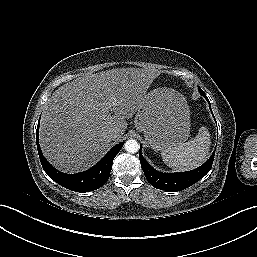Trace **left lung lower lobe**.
Segmentation results:
<instances>
[{
	"label": "left lung lower lobe",
	"instance_id": "1",
	"mask_svg": "<svg viewBox=\"0 0 257 257\" xmlns=\"http://www.w3.org/2000/svg\"><path fill=\"white\" fill-rule=\"evenodd\" d=\"M199 92L205 97L210 107V102L201 88H199ZM214 156L215 151L212 153L208 161H206L202 166L191 171L182 173H162L152 168L143 158L141 154V147L139 151L141 167L148 182L155 188L171 192L184 190L202 179L212 168Z\"/></svg>",
	"mask_w": 257,
	"mask_h": 257
}]
</instances>
